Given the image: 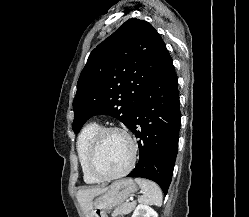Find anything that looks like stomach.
I'll use <instances>...</instances> for the list:
<instances>
[{
	"label": "stomach",
	"mask_w": 249,
	"mask_h": 217,
	"mask_svg": "<svg viewBox=\"0 0 249 217\" xmlns=\"http://www.w3.org/2000/svg\"><path fill=\"white\" fill-rule=\"evenodd\" d=\"M137 191V185L131 178L120 179L111 184L108 191L96 198L93 203L94 216L103 217L113 208L123 204L133 193Z\"/></svg>",
	"instance_id": "stomach-1"
}]
</instances>
